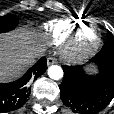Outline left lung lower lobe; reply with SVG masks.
Segmentation results:
<instances>
[{
    "instance_id": "left-lung-lower-lobe-1",
    "label": "left lung lower lobe",
    "mask_w": 114,
    "mask_h": 114,
    "mask_svg": "<svg viewBox=\"0 0 114 114\" xmlns=\"http://www.w3.org/2000/svg\"><path fill=\"white\" fill-rule=\"evenodd\" d=\"M92 62L99 73L85 75L78 66H62L63 81L60 97L66 107L79 114H95L103 110L114 97V52L100 51Z\"/></svg>"
}]
</instances>
